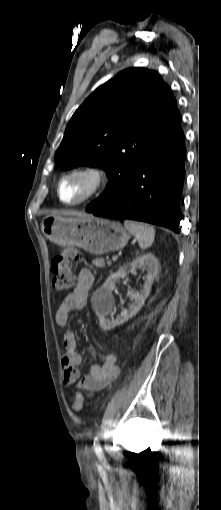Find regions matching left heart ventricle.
I'll use <instances>...</instances> for the list:
<instances>
[{"mask_svg": "<svg viewBox=\"0 0 221 510\" xmlns=\"http://www.w3.org/2000/svg\"><path fill=\"white\" fill-rule=\"evenodd\" d=\"M89 188V182L84 177L76 176L67 180L62 187V198L72 202L83 197Z\"/></svg>", "mask_w": 221, "mask_h": 510, "instance_id": "b2bd125f", "label": "left heart ventricle"}]
</instances>
